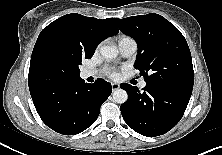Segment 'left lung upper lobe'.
<instances>
[{
    "label": "left lung upper lobe",
    "instance_id": "5c2ea615",
    "mask_svg": "<svg viewBox=\"0 0 222 155\" xmlns=\"http://www.w3.org/2000/svg\"><path fill=\"white\" fill-rule=\"evenodd\" d=\"M120 31L138 46L134 67L147 85L191 95L194 71L188 44L181 32L158 14L115 19Z\"/></svg>",
    "mask_w": 222,
    "mask_h": 155
}]
</instances>
